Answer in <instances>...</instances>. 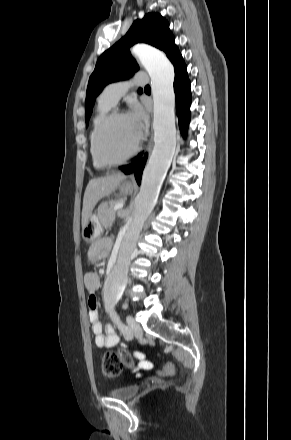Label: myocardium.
<instances>
[{"instance_id": "myocardium-1", "label": "myocardium", "mask_w": 291, "mask_h": 440, "mask_svg": "<svg viewBox=\"0 0 291 440\" xmlns=\"http://www.w3.org/2000/svg\"><path fill=\"white\" fill-rule=\"evenodd\" d=\"M126 116L125 113L119 111V110H113L110 113H108L99 123L97 130H96V134H95V151H96V156L98 157V159L109 166H117V165H121L126 163L128 160H130L140 149V145H141V137H138L134 147L122 158L116 159V158H111L109 156H107L102 148V137H103V133L106 129V127L108 126V124L119 117H124Z\"/></svg>"}]
</instances>
